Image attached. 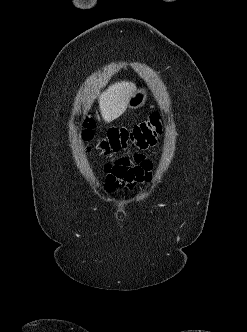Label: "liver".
Masks as SVG:
<instances>
[{
  "mask_svg": "<svg viewBox=\"0 0 247 332\" xmlns=\"http://www.w3.org/2000/svg\"><path fill=\"white\" fill-rule=\"evenodd\" d=\"M136 85L132 82H116L108 87L99 97V107L103 120L110 123L120 117L127 109Z\"/></svg>",
  "mask_w": 247,
  "mask_h": 332,
  "instance_id": "liver-1",
  "label": "liver"
}]
</instances>
